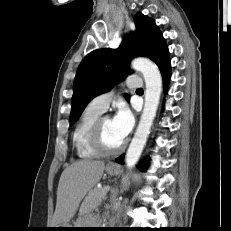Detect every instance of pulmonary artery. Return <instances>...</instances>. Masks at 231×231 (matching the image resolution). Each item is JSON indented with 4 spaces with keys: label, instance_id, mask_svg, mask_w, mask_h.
Returning <instances> with one entry per match:
<instances>
[{
    "label": "pulmonary artery",
    "instance_id": "e3ab8cb5",
    "mask_svg": "<svg viewBox=\"0 0 231 231\" xmlns=\"http://www.w3.org/2000/svg\"><path fill=\"white\" fill-rule=\"evenodd\" d=\"M126 86L131 89L140 88L142 86V79L138 75H129L125 82ZM113 91L103 93L95 97L91 102L90 106L104 112L109 107V104L113 98Z\"/></svg>",
    "mask_w": 231,
    "mask_h": 231
}]
</instances>
